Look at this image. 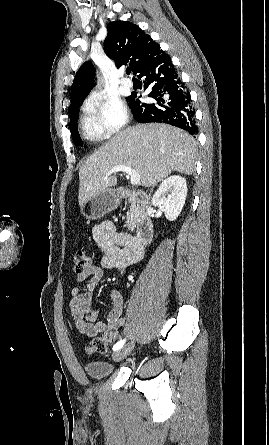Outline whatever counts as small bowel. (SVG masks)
<instances>
[{"label": "small bowel", "mask_w": 269, "mask_h": 445, "mask_svg": "<svg viewBox=\"0 0 269 445\" xmlns=\"http://www.w3.org/2000/svg\"><path fill=\"white\" fill-rule=\"evenodd\" d=\"M92 236L102 250V257L97 264L90 265L82 273L77 274L78 285L71 289L69 313L77 330L86 336H95L99 333L107 335L112 333L109 342L117 337V328L125 323L121 316L123 302L118 290H110L109 298L112 302L111 310L104 321H96L98 312L92 302L93 291L101 281L105 272H124L129 266L140 261L144 249L136 239L125 233L118 232L112 222L106 221L95 225Z\"/></svg>", "instance_id": "c3829d8e"}]
</instances>
